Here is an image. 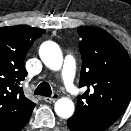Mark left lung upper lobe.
<instances>
[{"instance_id":"1","label":"left lung upper lobe","mask_w":131,"mask_h":131,"mask_svg":"<svg viewBox=\"0 0 131 131\" xmlns=\"http://www.w3.org/2000/svg\"><path fill=\"white\" fill-rule=\"evenodd\" d=\"M78 34L83 61L80 87L87 90L77 97L73 116L104 131L131 100V60L124 47L102 29L80 26Z\"/></svg>"}]
</instances>
